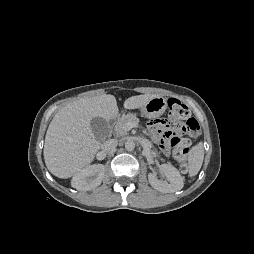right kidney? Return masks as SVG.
Here are the masks:
<instances>
[{
    "label": "right kidney",
    "mask_w": 254,
    "mask_h": 254,
    "mask_svg": "<svg viewBox=\"0 0 254 254\" xmlns=\"http://www.w3.org/2000/svg\"><path fill=\"white\" fill-rule=\"evenodd\" d=\"M105 173V166L94 164L86 166L75 174L71 181V186L79 191H89L98 187Z\"/></svg>",
    "instance_id": "right-kidney-1"
}]
</instances>
